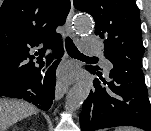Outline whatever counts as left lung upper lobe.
Segmentation results:
<instances>
[{
    "label": "left lung upper lobe",
    "mask_w": 151,
    "mask_h": 131,
    "mask_svg": "<svg viewBox=\"0 0 151 131\" xmlns=\"http://www.w3.org/2000/svg\"><path fill=\"white\" fill-rule=\"evenodd\" d=\"M74 6L94 18L95 34L105 39L104 53L113 68L141 69L144 47L135 0H74Z\"/></svg>",
    "instance_id": "1"
}]
</instances>
